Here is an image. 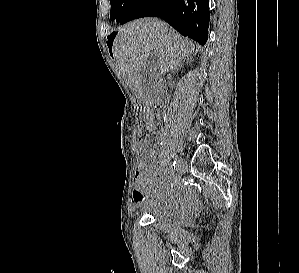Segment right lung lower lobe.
<instances>
[{"instance_id": "obj_1", "label": "right lung lower lobe", "mask_w": 299, "mask_h": 273, "mask_svg": "<svg viewBox=\"0 0 299 273\" xmlns=\"http://www.w3.org/2000/svg\"><path fill=\"white\" fill-rule=\"evenodd\" d=\"M161 17L184 36L205 45L210 19L209 0H136L120 21Z\"/></svg>"}]
</instances>
